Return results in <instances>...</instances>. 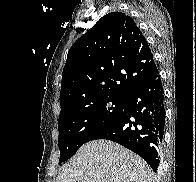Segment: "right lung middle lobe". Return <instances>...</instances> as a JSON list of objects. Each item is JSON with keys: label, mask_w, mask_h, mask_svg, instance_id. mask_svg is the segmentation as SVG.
I'll return each instance as SVG.
<instances>
[{"label": "right lung middle lobe", "mask_w": 196, "mask_h": 182, "mask_svg": "<svg viewBox=\"0 0 196 182\" xmlns=\"http://www.w3.org/2000/svg\"><path fill=\"white\" fill-rule=\"evenodd\" d=\"M125 103L126 98L104 96L60 112L59 163L71 158L96 132L120 114Z\"/></svg>", "instance_id": "dd1d6c3e"}]
</instances>
